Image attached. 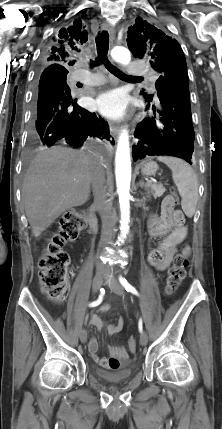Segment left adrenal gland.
Returning <instances> with one entry per match:
<instances>
[{
	"label": "left adrenal gland",
	"instance_id": "1",
	"mask_svg": "<svg viewBox=\"0 0 222 429\" xmlns=\"http://www.w3.org/2000/svg\"><path fill=\"white\" fill-rule=\"evenodd\" d=\"M137 186H140L141 188H144L147 191V194H149V189L147 185L145 184L144 180H140Z\"/></svg>",
	"mask_w": 222,
	"mask_h": 429
}]
</instances>
